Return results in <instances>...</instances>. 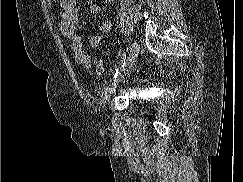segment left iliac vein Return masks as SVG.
<instances>
[{"instance_id": "4c4485c4", "label": "left iliac vein", "mask_w": 243, "mask_h": 182, "mask_svg": "<svg viewBox=\"0 0 243 182\" xmlns=\"http://www.w3.org/2000/svg\"><path fill=\"white\" fill-rule=\"evenodd\" d=\"M140 51V45L139 43L135 40L132 42L129 50V55L127 58V61L124 65V67L121 69L120 73L118 74L117 78L115 81L112 83L111 87L108 90V93L106 95V100L109 101L110 98L114 95L116 92V88L118 85L129 75V72L131 70L132 65L135 62V59L137 58L138 54Z\"/></svg>"}]
</instances>
